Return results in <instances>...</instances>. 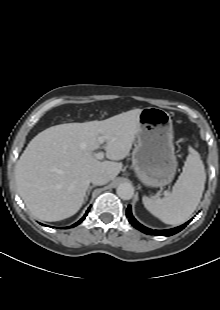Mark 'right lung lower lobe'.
Wrapping results in <instances>:
<instances>
[{"mask_svg": "<svg viewBox=\"0 0 220 310\" xmlns=\"http://www.w3.org/2000/svg\"><path fill=\"white\" fill-rule=\"evenodd\" d=\"M87 214H88V211H86L85 215H84L78 222H76L75 224H73L71 227H75V226H77L78 224H80V223L86 218Z\"/></svg>", "mask_w": 220, "mask_h": 310, "instance_id": "1", "label": "right lung lower lobe"}]
</instances>
